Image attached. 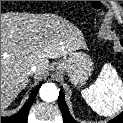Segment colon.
Masks as SVG:
<instances>
[{
  "label": "colon",
  "instance_id": "colon-1",
  "mask_svg": "<svg viewBox=\"0 0 123 123\" xmlns=\"http://www.w3.org/2000/svg\"><path fill=\"white\" fill-rule=\"evenodd\" d=\"M90 6L92 7L93 10H95L96 12L102 13V4L100 1H91L90 2Z\"/></svg>",
  "mask_w": 123,
  "mask_h": 123
}]
</instances>
